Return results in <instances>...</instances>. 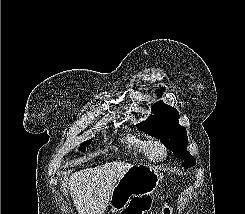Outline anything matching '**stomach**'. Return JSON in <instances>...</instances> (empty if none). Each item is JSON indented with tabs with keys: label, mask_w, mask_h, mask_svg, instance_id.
<instances>
[{
	"label": "stomach",
	"mask_w": 245,
	"mask_h": 214,
	"mask_svg": "<svg viewBox=\"0 0 245 214\" xmlns=\"http://www.w3.org/2000/svg\"><path fill=\"white\" fill-rule=\"evenodd\" d=\"M159 183V173L152 166L134 165L114 186L109 205L112 210L121 211L127 207L132 196L150 195L157 189Z\"/></svg>",
	"instance_id": "stomach-1"
}]
</instances>
